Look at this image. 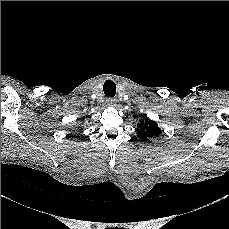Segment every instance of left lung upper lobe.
I'll list each match as a JSON object with an SVG mask.
<instances>
[{
    "instance_id": "1",
    "label": "left lung upper lobe",
    "mask_w": 229,
    "mask_h": 229,
    "mask_svg": "<svg viewBox=\"0 0 229 229\" xmlns=\"http://www.w3.org/2000/svg\"><path fill=\"white\" fill-rule=\"evenodd\" d=\"M137 130V136L143 141H149V138L157 137L161 133L158 124L145 115V120L140 121Z\"/></svg>"
}]
</instances>
